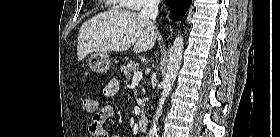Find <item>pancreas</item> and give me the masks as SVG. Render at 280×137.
<instances>
[{
	"instance_id": "obj_1",
	"label": "pancreas",
	"mask_w": 280,
	"mask_h": 137,
	"mask_svg": "<svg viewBox=\"0 0 280 137\" xmlns=\"http://www.w3.org/2000/svg\"><path fill=\"white\" fill-rule=\"evenodd\" d=\"M138 66H139L138 63H136L135 61H129V62L125 63L124 65H122L121 71L123 72V75L126 77V79L129 80L131 78V73L136 72L138 69ZM143 115H144V110H143V106H142L141 116H143Z\"/></svg>"
}]
</instances>
